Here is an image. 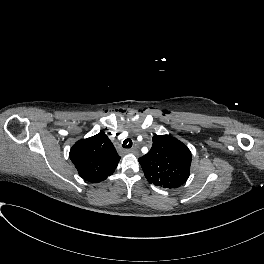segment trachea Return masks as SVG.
<instances>
[{
	"instance_id": "obj_1",
	"label": "trachea",
	"mask_w": 264,
	"mask_h": 264,
	"mask_svg": "<svg viewBox=\"0 0 264 264\" xmlns=\"http://www.w3.org/2000/svg\"><path fill=\"white\" fill-rule=\"evenodd\" d=\"M132 140L131 139H125L124 141H123V144H122V146L124 147V148H131L132 147Z\"/></svg>"
}]
</instances>
